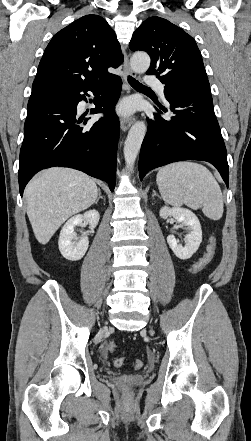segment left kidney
Instances as JSON below:
<instances>
[{
    "label": "left kidney",
    "mask_w": 251,
    "mask_h": 441,
    "mask_svg": "<svg viewBox=\"0 0 251 441\" xmlns=\"http://www.w3.org/2000/svg\"><path fill=\"white\" fill-rule=\"evenodd\" d=\"M169 216H172L177 222L185 226L186 230H188V234L185 236L186 245L184 247L177 243V240L173 235L167 237L169 247L178 258L182 260L189 259L198 250L202 241V230L199 219L191 210L186 208L162 207L160 210V217L166 219Z\"/></svg>",
    "instance_id": "1"
}]
</instances>
